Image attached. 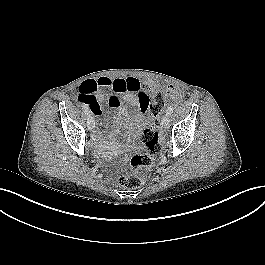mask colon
I'll use <instances>...</instances> for the list:
<instances>
[{
  "label": "colon",
  "instance_id": "5ec220e1",
  "mask_svg": "<svg viewBox=\"0 0 265 265\" xmlns=\"http://www.w3.org/2000/svg\"><path fill=\"white\" fill-rule=\"evenodd\" d=\"M176 96H178V91L174 87L159 90L154 94L150 109L154 113L159 112L166 106L170 98ZM139 143L147 153H140L132 156L130 160V170L122 174L118 179V184L123 188L135 189L143 184L147 171L153 165L151 153L159 149L158 134L151 129H145L140 135Z\"/></svg>",
  "mask_w": 265,
  "mask_h": 265
}]
</instances>
